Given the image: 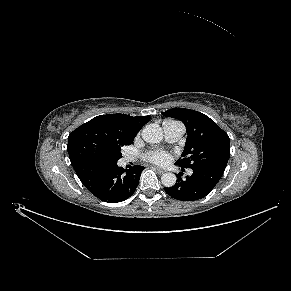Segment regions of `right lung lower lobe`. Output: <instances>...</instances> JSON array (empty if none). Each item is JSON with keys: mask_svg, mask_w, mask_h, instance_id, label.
I'll return each mask as SVG.
<instances>
[{"mask_svg": "<svg viewBox=\"0 0 291 291\" xmlns=\"http://www.w3.org/2000/svg\"><path fill=\"white\" fill-rule=\"evenodd\" d=\"M83 185L97 198L105 202H121L135 191L144 167L136 165L125 170L112 161L91 157L73 165Z\"/></svg>", "mask_w": 291, "mask_h": 291, "instance_id": "98d812e1", "label": "right lung lower lobe"}]
</instances>
